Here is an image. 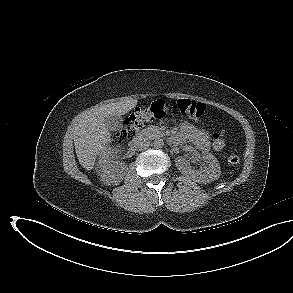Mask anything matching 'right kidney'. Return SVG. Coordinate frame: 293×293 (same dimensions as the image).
<instances>
[{
	"mask_svg": "<svg viewBox=\"0 0 293 293\" xmlns=\"http://www.w3.org/2000/svg\"><path fill=\"white\" fill-rule=\"evenodd\" d=\"M100 162L102 164L99 170L101 181L106 185L118 184L121 179L120 175L126 168L125 164L111 159Z\"/></svg>",
	"mask_w": 293,
	"mask_h": 293,
	"instance_id": "ca27d5eb",
	"label": "right kidney"
}]
</instances>
